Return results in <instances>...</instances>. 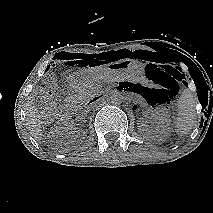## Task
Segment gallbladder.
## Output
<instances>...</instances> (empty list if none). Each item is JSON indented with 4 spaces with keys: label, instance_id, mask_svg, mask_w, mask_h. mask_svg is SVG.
I'll return each instance as SVG.
<instances>
[{
    "label": "gallbladder",
    "instance_id": "obj_1",
    "mask_svg": "<svg viewBox=\"0 0 213 213\" xmlns=\"http://www.w3.org/2000/svg\"><path fill=\"white\" fill-rule=\"evenodd\" d=\"M44 83L47 85V88H42L40 89V92L41 93H44L46 90H49V89H53L55 92H57V88H58V81L57 79L52 76V75H49L45 80H44Z\"/></svg>",
    "mask_w": 213,
    "mask_h": 213
}]
</instances>
